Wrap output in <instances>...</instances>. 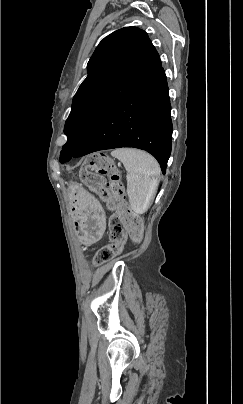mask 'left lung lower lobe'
Masks as SVG:
<instances>
[{"label": "left lung lower lobe", "mask_w": 243, "mask_h": 404, "mask_svg": "<svg viewBox=\"0 0 243 404\" xmlns=\"http://www.w3.org/2000/svg\"><path fill=\"white\" fill-rule=\"evenodd\" d=\"M170 110L167 79L161 68L110 107L71 158L99 150L133 147L152 154L165 174L171 153Z\"/></svg>", "instance_id": "obj_1"}]
</instances>
